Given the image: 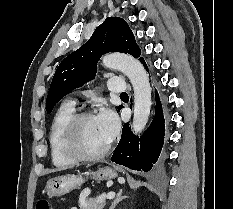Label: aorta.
I'll use <instances>...</instances> for the list:
<instances>
[{"label": "aorta", "mask_w": 233, "mask_h": 209, "mask_svg": "<svg viewBox=\"0 0 233 209\" xmlns=\"http://www.w3.org/2000/svg\"><path fill=\"white\" fill-rule=\"evenodd\" d=\"M105 67L122 71L130 80L134 90V115L132 130L140 134L147 122L151 109V87L143 65L130 55L110 54L102 58Z\"/></svg>", "instance_id": "obj_1"}]
</instances>
